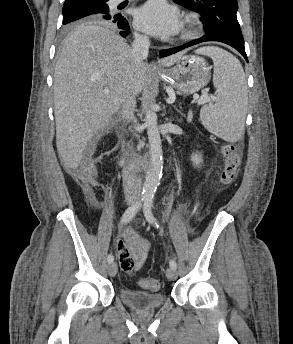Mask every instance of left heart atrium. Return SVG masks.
<instances>
[{
    "label": "left heart atrium",
    "instance_id": "obj_1",
    "mask_svg": "<svg viewBox=\"0 0 293 344\" xmlns=\"http://www.w3.org/2000/svg\"><path fill=\"white\" fill-rule=\"evenodd\" d=\"M134 24L137 29L158 38L175 35L182 27L177 9L165 0H151L139 8Z\"/></svg>",
    "mask_w": 293,
    "mask_h": 344
}]
</instances>
